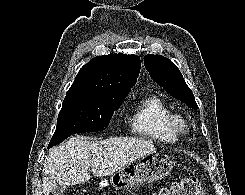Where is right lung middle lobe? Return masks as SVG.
<instances>
[{
    "instance_id": "1",
    "label": "right lung middle lobe",
    "mask_w": 245,
    "mask_h": 195,
    "mask_svg": "<svg viewBox=\"0 0 245 195\" xmlns=\"http://www.w3.org/2000/svg\"><path fill=\"white\" fill-rule=\"evenodd\" d=\"M123 101L87 94L66 95L49 148L75 133L105 130Z\"/></svg>"
}]
</instances>
